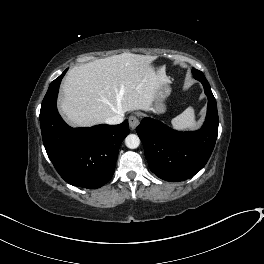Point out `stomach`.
<instances>
[{
  "label": "stomach",
  "mask_w": 264,
  "mask_h": 264,
  "mask_svg": "<svg viewBox=\"0 0 264 264\" xmlns=\"http://www.w3.org/2000/svg\"><path fill=\"white\" fill-rule=\"evenodd\" d=\"M171 93L170 81L162 82L154 94L152 111L156 114H162L166 111L165 100Z\"/></svg>",
  "instance_id": "obj_1"
}]
</instances>
